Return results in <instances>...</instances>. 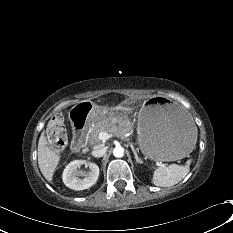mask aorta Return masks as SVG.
<instances>
[{
	"label": "aorta",
	"instance_id": "1",
	"mask_svg": "<svg viewBox=\"0 0 233 233\" xmlns=\"http://www.w3.org/2000/svg\"><path fill=\"white\" fill-rule=\"evenodd\" d=\"M113 155L117 158H121L124 156V148L121 147V146H116L114 149H113Z\"/></svg>",
	"mask_w": 233,
	"mask_h": 233
}]
</instances>
